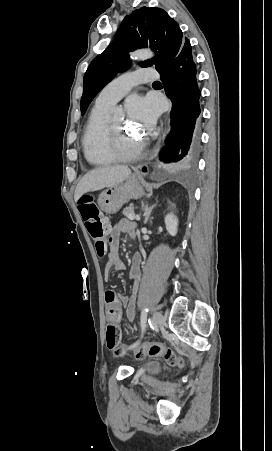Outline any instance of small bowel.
<instances>
[{
  "instance_id": "1",
  "label": "small bowel",
  "mask_w": 272,
  "mask_h": 451,
  "mask_svg": "<svg viewBox=\"0 0 272 451\" xmlns=\"http://www.w3.org/2000/svg\"><path fill=\"white\" fill-rule=\"evenodd\" d=\"M108 225V224H107ZM136 229L135 224L127 219L118 221L114 226L109 227V251L107 253V262L104 267V278L108 280L111 271H121L125 268V264L120 258L119 247L120 239L123 234L132 235ZM141 264L142 257L139 254H135L132 257L129 276L133 282L132 293L130 297L122 294H117L114 291H108L105 295V301L107 306V319L120 323L125 311L126 318L129 322H133L136 317V297L138 291V281L141 276Z\"/></svg>"
}]
</instances>
